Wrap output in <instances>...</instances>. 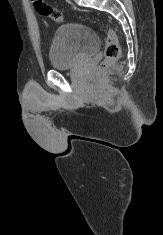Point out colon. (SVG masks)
Listing matches in <instances>:
<instances>
[{"label": "colon", "instance_id": "5ec220e1", "mask_svg": "<svg viewBox=\"0 0 163 235\" xmlns=\"http://www.w3.org/2000/svg\"><path fill=\"white\" fill-rule=\"evenodd\" d=\"M36 10L43 16L49 17L56 22H62L64 16L61 11L47 4L44 0H33ZM120 57V44L116 32L108 29L106 32V47L100 70L103 71Z\"/></svg>", "mask_w": 163, "mask_h": 235}]
</instances>
